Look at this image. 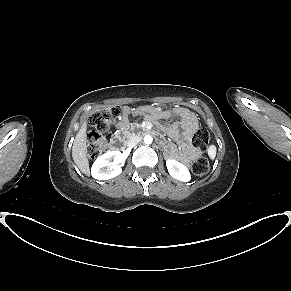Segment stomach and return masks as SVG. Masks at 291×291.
<instances>
[{"instance_id":"1","label":"stomach","mask_w":291,"mask_h":291,"mask_svg":"<svg viewBox=\"0 0 291 291\" xmlns=\"http://www.w3.org/2000/svg\"><path fill=\"white\" fill-rule=\"evenodd\" d=\"M158 108H159L160 110H163V111H169V110L172 109L171 106H169V105H167V104H164V103H159V104H158Z\"/></svg>"}]
</instances>
